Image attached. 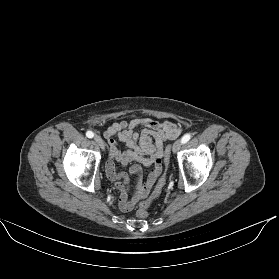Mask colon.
Instances as JSON below:
<instances>
[{
	"mask_svg": "<svg viewBox=\"0 0 279 279\" xmlns=\"http://www.w3.org/2000/svg\"><path fill=\"white\" fill-rule=\"evenodd\" d=\"M170 151H171V148H170V147H167V148L165 149V153H164V162H165V165H167L168 162H169ZM164 184H165V176L162 175V176L160 177V179L158 180V182H157V184H156V186H155V188H154V190H153L151 196H150L147 200L143 201V202L140 204L138 210L136 211L137 217H139V218H145V217L148 216V209H149V207H150L152 201L160 195V193H161V191H162V189H163Z\"/></svg>",
	"mask_w": 279,
	"mask_h": 279,
	"instance_id": "1",
	"label": "colon"
}]
</instances>
